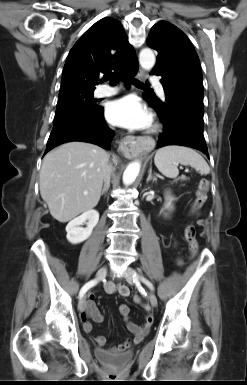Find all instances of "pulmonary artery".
<instances>
[{"label": "pulmonary artery", "instance_id": "obj_1", "mask_svg": "<svg viewBox=\"0 0 247 385\" xmlns=\"http://www.w3.org/2000/svg\"><path fill=\"white\" fill-rule=\"evenodd\" d=\"M154 85H155V88L158 92V94L161 96V97H164L165 94H164V90H163V87L162 85L160 84V82L158 81L157 78H153L152 79ZM117 92V89L115 87H111L109 85H102V86H99L96 90H95V95L97 97H107V96H111V95H114L115 93Z\"/></svg>", "mask_w": 247, "mask_h": 385}]
</instances>
